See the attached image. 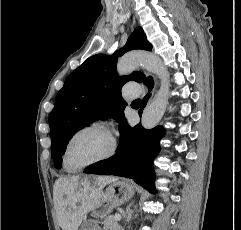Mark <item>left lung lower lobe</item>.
<instances>
[{"label":"left lung lower lobe","instance_id":"left-lung-lower-lobe-1","mask_svg":"<svg viewBox=\"0 0 241 230\" xmlns=\"http://www.w3.org/2000/svg\"><path fill=\"white\" fill-rule=\"evenodd\" d=\"M151 91L153 81L147 78L144 82ZM150 94L144 97L139 110L141 116ZM120 143L116 154L89 166L84 172L100 175H117L133 179L150 192H155V173L153 159L159 153V141L165 135L162 127L146 130L141 124L131 127L126 119L119 126Z\"/></svg>","mask_w":241,"mask_h":230}]
</instances>
